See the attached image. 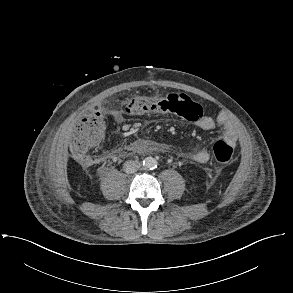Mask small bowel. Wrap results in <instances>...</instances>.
Listing matches in <instances>:
<instances>
[{
	"label": "small bowel",
	"mask_w": 293,
	"mask_h": 293,
	"mask_svg": "<svg viewBox=\"0 0 293 293\" xmlns=\"http://www.w3.org/2000/svg\"><path fill=\"white\" fill-rule=\"evenodd\" d=\"M106 113L109 114L117 121L122 120V115L120 111L116 108H107ZM195 125L203 130H213L217 127L218 123L211 117L202 115L198 120H196ZM221 138L235 147L238 143V133L234 125L229 121L222 122V133ZM188 157L198 163H206L210 159V153L207 150H197L188 155ZM88 164H92V159H87Z\"/></svg>",
	"instance_id": "obj_1"
}]
</instances>
